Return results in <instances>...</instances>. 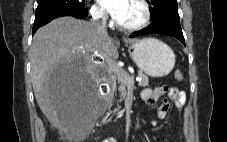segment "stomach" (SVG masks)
Here are the masks:
<instances>
[{
  "mask_svg": "<svg viewBox=\"0 0 227 142\" xmlns=\"http://www.w3.org/2000/svg\"><path fill=\"white\" fill-rule=\"evenodd\" d=\"M130 55L145 74L160 78L168 75L175 65V54L165 43L145 38L131 43L128 47Z\"/></svg>",
  "mask_w": 227,
  "mask_h": 142,
  "instance_id": "obj_1",
  "label": "stomach"
}]
</instances>
